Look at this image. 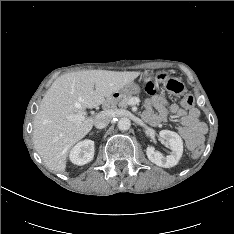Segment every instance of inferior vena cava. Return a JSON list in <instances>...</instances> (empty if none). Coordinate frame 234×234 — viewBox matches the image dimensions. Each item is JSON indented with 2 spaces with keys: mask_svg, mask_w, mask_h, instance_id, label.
<instances>
[{
  "mask_svg": "<svg viewBox=\"0 0 234 234\" xmlns=\"http://www.w3.org/2000/svg\"><path fill=\"white\" fill-rule=\"evenodd\" d=\"M112 116L107 111H102L96 115L94 125L97 129L105 128L111 121Z\"/></svg>",
  "mask_w": 234,
  "mask_h": 234,
  "instance_id": "obj_1",
  "label": "inferior vena cava"
}]
</instances>
